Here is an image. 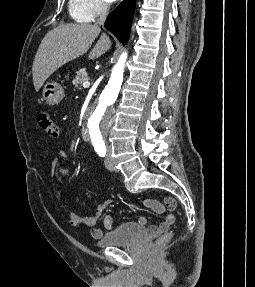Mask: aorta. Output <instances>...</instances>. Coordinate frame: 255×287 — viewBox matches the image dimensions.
<instances>
[{
    "instance_id": "762f6f07",
    "label": "aorta",
    "mask_w": 255,
    "mask_h": 287,
    "mask_svg": "<svg viewBox=\"0 0 255 287\" xmlns=\"http://www.w3.org/2000/svg\"><path fill=\"white\" fill-rule=\"evenodd\" d=\"M127 54L120 56L118 63L113 67L110 80L102 91L99 101L88 120V137L93 146H103L106 135L107 114L115 103L119 94Z\"/></svg>"
}]
</instances>
